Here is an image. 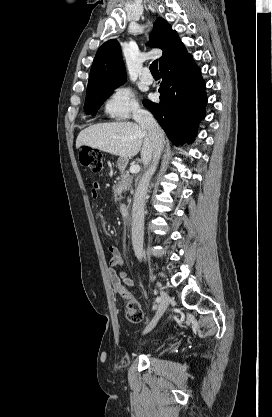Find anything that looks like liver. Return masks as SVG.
I'll return each mask as SVG.
<instances>
[{
	"label": "liver",
	"instance_id": "obj_1",
	"mask_svg": "<svg viewBox=\"0 0 272 417\" xmlns=\"http://www.w3.org/2000/svg\"><path fill=\"white\" fill-rule=\"evenodd\" d=\"M82 145L123 158L133 157L140 151L145 166L153 156L148 131L132 122L102 123L85 128L76 140L77 149Z\"/></svg>",
	"mask_w": 272,
	"mask_h": 417
}]
</instances>
